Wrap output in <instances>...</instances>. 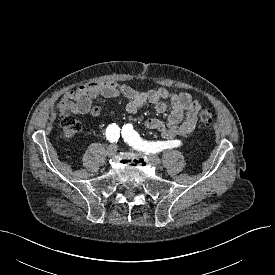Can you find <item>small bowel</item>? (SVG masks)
<instances>
[{
    "instance_id": "c3829d8e",
    "label": "small bowel",
    "mask_w": 275,
    "mask_h": 275,
    "mask_svg": "<svg viewBox=\"0 0 275 275\" xmlns=\"http://www.w3.org/2000/svg\"><path fill=\"white\" fill-rule=\"evenodd\" d=\"M124 98L126 111L135 114L142 106L152 104L158 113H165L168 103L171 112L166 121L149 118L145 121L148 129L158 131L166 140L177 136H186L196 127L200 103L186 92L172 93L165 88L138 91L127 85L113 81L92 82L84 84L74 91L65 92L60 98L57 108L60 112H72L79 116L98 117L103 113L99 106L93 105L98 97Z\"/></svg>"
}]
</instances>
